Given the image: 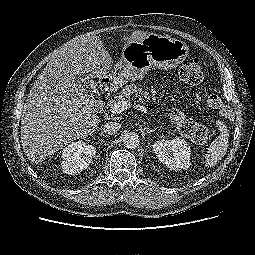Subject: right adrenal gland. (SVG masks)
Returning <instances> with one entry per match:
<instances>
[{"label": "right adrenal gland", "mask_w": 255, "mask_h": 255, "mask_svg": "<svg viewBox=\"0 0 255 255\" xmlns=\"http://www.w3.org/2000/svg\"><path fill=\"white\" fill-rule=\"evenodd\" d=\"M101 131H102V129H100ZM101 135H103L104 136V133H103V131L101 132Z\"/></svg>", "instance_id": "right-adrenal-gland-1"}]
</instances>
